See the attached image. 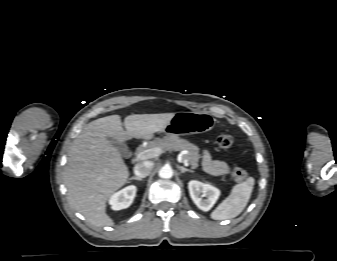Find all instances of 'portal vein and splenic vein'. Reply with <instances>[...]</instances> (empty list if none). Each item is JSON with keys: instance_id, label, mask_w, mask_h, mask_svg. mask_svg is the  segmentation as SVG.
Returning <instances> with one entry per match:
<instances>
[{"instance_id": "18ae733b", "label": "portal vein and splenic vein", "mask_w": 337, "mask_h": 261, "mask_svg": "<svg viewBox=\"0 0 337 261\" xmlns=\"http://www.w3.org/2000/svg\"><path fill=\"white\" fill-rule=\"evenodd\" d=\"M161 153H163V151L160 147L150 148V149H146V150H143L140 153H138L137 159L146 160V159L157 157ZM183 163H184L185 166L189 165V163L186 159H183Z\"/></svg>"}]
</instances>
